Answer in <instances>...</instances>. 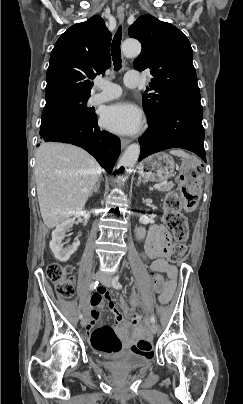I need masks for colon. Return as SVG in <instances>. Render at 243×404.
Masks as SVG:
<instances>
[{
    "label": "colon",
    "mask_w": 243,
    "mask_h": 404,
    "mask_svg": "<svg viewBox=\"0 0 243 404\" xmlns=\"http://www.w3.org/2000/svg\"><path fill=\"white\" fill-rule=\"evenodd\" d=\"M202 183V170L199 164L193 160H186L181 166L180 189L169 192L164 199V221L172 232L174 241L169 247L170 261H177L186 251L188 238V225L181 213L182 209L193 210L200 199ZM47 277L55 283L57 293L63 298H69L74 293L72 267L59 263H51L46 269ZM151 283L155 292H160L164 286L163 277L153 274ZM137 296L129 300L121 299L120 306L131 314L137 305ZM92 347L103 353H116L121 350L122 342L112 326L103 325L91 333ZM136 349L144 354H151L152 342L147 338H141L136 344Z\"/></svg>",
    "instance_id": "obj_1"
}]
</instances>
